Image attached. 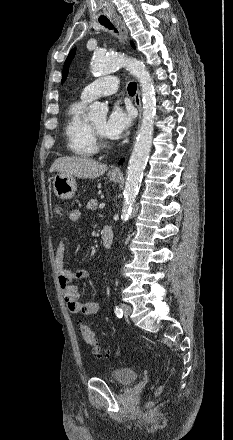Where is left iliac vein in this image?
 <instances>
[{"label":"left iliac vein","instance_id":"obj_1","mask_svg":"<svg viewBox=\"0 0 233 440\" xmlns=\"http://www.w3.org/2000/svg\"><path fill=\"white\" fill-rule=\"evenodd\" d=\"M123 314L128 317L132 312V307L128 304H122Z\"/></svg>","mask_w":233,"mask_h":440}]
</instances>
